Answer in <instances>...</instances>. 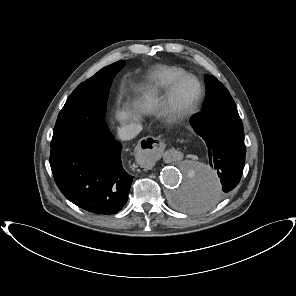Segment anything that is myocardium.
Listing matches in <instances>:
<instances>
[{"mask_svg":"<svg viewBox=\"0 0 296 296\" xmlns=\"http://www.w3.org/2000/svg\"><path fill=\"white\" fill-rule=\"evenodd\" d=\"M191 79L197 84L196 96L187 103H179L176 98L178 87L186 80ZM203 85L201 81L194 75L184 74L176 79L168 88L165 96V110L171 118H181L191 113L199 104L203 97Z\"/></svg>","mask_w":296,"mask_h":296,"instance_id":"f54148a6","label":"myocardium"}]
</instances>
